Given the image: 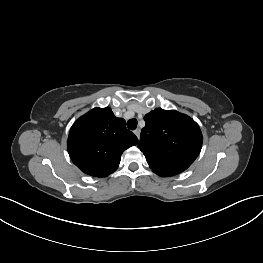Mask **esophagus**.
Instances as JSON below:
<instances>
[{
    "label": "esophagus",
    "mask_w": 263,
    "mask_h": 263,
    "mask_svg": "<svg viewBox=\"0 0 263 263\" xmlns=\"http://www.w3.org/2000/svg\"><path fill=\"white\" fill-rule=\"evenodd\" d=\"M140 129L139 128H137L136 130H134V134L137 136V138L139 139V137H140Z\"/></svg>",
    "instance_id": "34e87169"
}]
</instances>
